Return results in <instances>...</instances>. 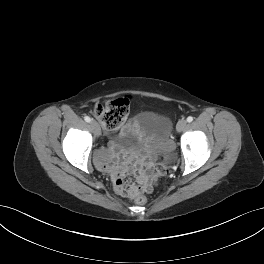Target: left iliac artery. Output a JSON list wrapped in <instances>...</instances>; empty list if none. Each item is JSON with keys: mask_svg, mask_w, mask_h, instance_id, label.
Masks as SVG:
<instances>
[{"mask_svg": "<svg viewBox=\"0 0 264 264\" xmlns=\"http://www.w3.org/2000/svg\"><path fill=\"white\" fill-rule=\"evenodd\" d=\"M192 121H193V117L192 116L187 117V122H192Z\"/></svg>", "mask_w": 264, "mask_h": 264, "instance_id": "44dca946", "label": "left iliac artery"}]
</instances>
